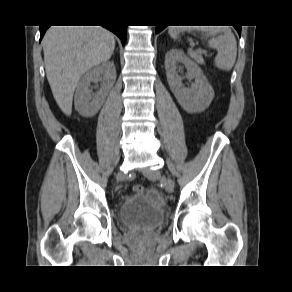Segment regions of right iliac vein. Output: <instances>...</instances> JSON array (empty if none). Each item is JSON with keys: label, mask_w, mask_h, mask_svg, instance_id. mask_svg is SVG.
Here are the masks:
<instances>
[{"label": "right iliac vein", "mask_w": 292, "mask_h": 292, "mask_svg": "<svg viewBox=\"0 0 292 292\" xmlns=\"http://www.w3.org/2000/svg\"><path fill=\"white\" fill-rule=\"evenodd\" d=\"M125 179V175L122 173V172H119L118 174H117V180L118 181H122V180H124Z\"/></svg>", "instance_id": "63e3f726"}]
</instances>
